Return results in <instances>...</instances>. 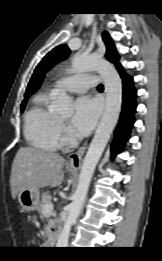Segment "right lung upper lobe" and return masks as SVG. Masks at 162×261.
Returning <instances> with one entry per match:
<instances>
[{"instance_id": "obj_1", "label": "right lung upper lobe", "mask_w": 162, "mask_h": 261, "mask_svg": "<svg viewBox=\"0 0 162 261\" xmlns=\"http://www.w3.org/2000/svg\"><path fill=\"white\" fill-rule=\"evenodd\" d=\"M41 83H42V80H40V81L31 89V91L27 93V96H30V95H32L33 93H35V92L38 90V88L40 87ZM23 101H27V98L24 99Z\"/></svg>"}]
</instances>
